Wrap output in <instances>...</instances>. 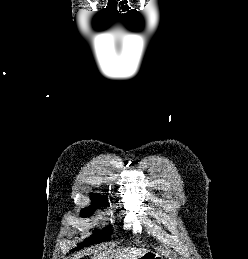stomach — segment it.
<instances>
[{
  "label": "stomach",
  "mask_w": 248,
  "mask_h": 259,
  "mask_svg": "<svg viewBox=\"0 0 248 259\" xmlns=\"http://www.w3.org/2000/svg\"><path fill=\"white\" fill-rule=\"evenodd\" d=\"M137 259H163V257L156 252L146 250Z\"/></svg>",
  "instance_id": "1"
}]
</instances>
